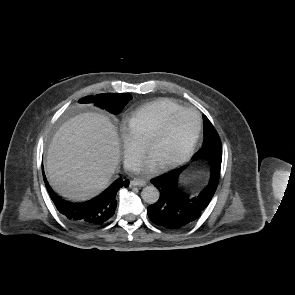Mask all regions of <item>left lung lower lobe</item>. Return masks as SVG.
<instances>
[{
    "label": "left lung lower lobe",
    "instance_id": "0a47b994",
    "mask_svg": "<svg viewBox=\"0 0 295 295\" xmlns=\"http://www.w3.org/2000/svg\"><path fill=\"white\" fill-rule=\"evenodd\" d=\"M211 166V177L207 187L194 197L177 188V179L183 169L151 180L160 191L159 200L147 209L149 219L160 227L169 230L184 228L198 219L210 203L220 177L222 154L211 152L204 156Z\"/></svg>",
    "mask_w": 295,
    "mask_h": 295
}]
</instances>
